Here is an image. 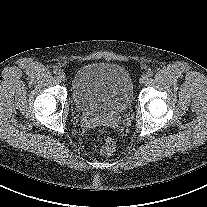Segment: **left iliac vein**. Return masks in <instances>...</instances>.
I'll return each mask as SVG.
<instances>
[{
	"instance_id": "4c4485c4",
	"label": "left iliac vein",
	"mask_w": 207,
	"mask_h": 207,
	"mask_svg": "<svg viewBox=\"0 0 207 207\" xmlns=\"http://www.w3.org/2000/svg\"><path fill=\"white\" fill-rule=\"evenodd\" d=\"M147 79H148V76L146 74H144L140 77L139 82L141 84H144L147 81Z\"/></svg>"
}]
</instances>
